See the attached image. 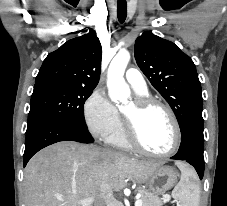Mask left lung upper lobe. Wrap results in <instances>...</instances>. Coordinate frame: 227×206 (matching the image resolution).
<instances>
[{
	"instance_id": "obj_1",
	"label": "left lung upper lobe",
	"mask_w": 227,
	"mask_h": 206,
	"mask_svg": "<svg viewBox=\"0 0 227 206\" xmlns=\"http://www.w3.org/2000/svg\"><path fill=\"white\" fill-rule=\"evenodd\" d=\"M137 65L174 111L181 135L203 130L201 84L195 64L173 42L151 32L136 39Z\"/></svg>"
}]
</instances>
